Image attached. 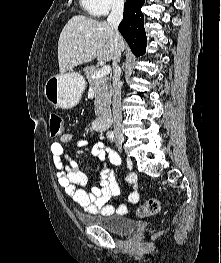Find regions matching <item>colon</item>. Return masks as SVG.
Returning a JSON list of instances; mask_svg holds the SVG:
<instances>
[{
    "label": "colon",
    "instance_id": "colon-1",
    "mask_svg": "<svg viewBox=\"0 0 221 263\" xmlns=\"http://www.w3.org/2000/svg\"><path fill=\"white\" fill-rule=\"evenodd\" d=\"M50 135L58 137L63 132V119L59 113L52 112L49 117ZM160 210V201L157 198H150L145 203L137 208V215L139 217H147L155 215Z\"/></svg>",
    "mask_w": 221,
    "mask_h": 263
}]
</instances>
